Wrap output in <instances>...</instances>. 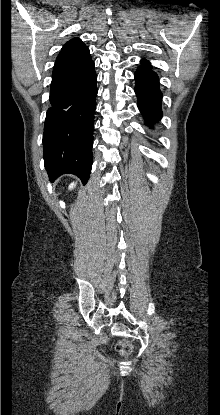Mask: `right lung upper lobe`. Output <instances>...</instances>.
<instances>
[{
  "mask_svg": "<svg viewBox=\"0 0 220 415\" xmlns=\"http://www.w3.org/2000/svg\"><path fill=\"white\" fill-rule=\"evenodd\" d=\"M90 59L88 47L79 38L71 39L61 49L52 76L74 69Z\"/></svg>",
  "mask_w": 220,
  "mask_h": 415,
  "instance_id": "obj_1",
  "label": "right lung upper lobe"
}]
</instances>
